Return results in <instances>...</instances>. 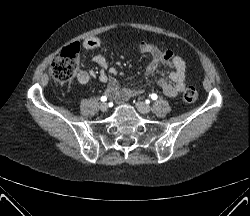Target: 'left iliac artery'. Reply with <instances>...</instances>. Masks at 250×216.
Returning a JSON list of instances; mask_svg holds the SVG:
<instances>
[{
  "label": "left iliac artery",
  "mask_w": 250,
  "mask_h": 216,
  "mask_svg": "<svg viewBox=\"0 0 250 216\" xmlns=\"http://www.w3.org/2000/svg\"><path fill=\"white\" fill-rule=\"evenodd\" d=\"M157 98H158L157 94L153 93V94L151 95V99H152V100H156Z\"/></svg>",
  "instance_id": "1"
}]
</instances>
